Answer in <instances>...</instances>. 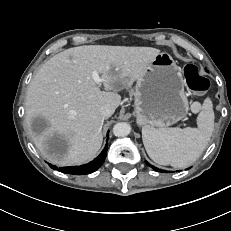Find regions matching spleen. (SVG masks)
Wrapping results in <instances>:
<instances>
[{
  "label": "spleen",
  "mask_w": 231,
  "mask_h": 231,
  "mask_svg": "<svg viewBox=\"0 0 231 231\" xmlns=\"http://www.w3.org/2000/svg\"><path fill=\"white\" fill-rule=\"evenodd\" d=\"M198 128H142V140L149 157L160 165L185 168L206 148L214 129V112L206 98L197 117Z\"/></svg>",
  "instance_id": "spleen-1"
}]
</instances>
